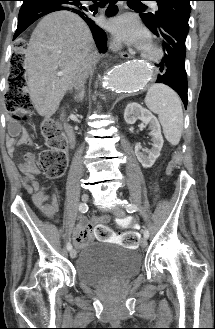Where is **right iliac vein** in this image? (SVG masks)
I'll return each instance as SVG.
<instances>
[{"mask_svg":"<svg viewBox=\"0 0 215 329\" xmlns=\"http://www.w3.org/2000/svg\"><path fill=\"white\" fill-rule=\"evenodd\" d=\"M81 199H82V201H83L84 203L88 202V200H89V196H88V194H83L82 197H81ZM76 255H77L76 250H75V249H71V251H70V257H71L72 259H74V258L76 257Z\"/></svg>","mask_w":215,"mask_h":329,"instance_id":"1","label":"right iliac vein"}]
</instances>
